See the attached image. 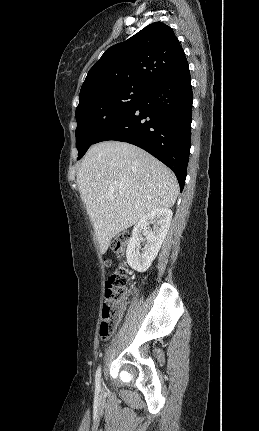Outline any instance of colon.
<instances>
[{"mask_svg": "<svg viewBox=\"0 0 259 431\" xmlns=\"http://www.w3.org/2000/svg\"><path fill=\"white\" fill-rule=\"evenodd\" d=\"M130 234L123 232L112 241V251L119 258L124 257ZM107 266L110 261L105 262ZM129 293L128 277L124 266H120L107 279L105 284V301L102 308L99 334L102 339H107L117 325L122 309L123 301Z\"/></svg>", "mask_w": 259, "mask_h": 431, "instance_id": "5ec220e1", "label": "colon"}]
</instances>
